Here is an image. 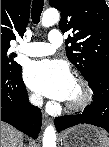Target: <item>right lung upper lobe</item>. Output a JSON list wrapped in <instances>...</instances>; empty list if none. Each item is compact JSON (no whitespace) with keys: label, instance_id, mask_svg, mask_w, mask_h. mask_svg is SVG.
<instances>
[{"label":"right lung upper lobe","instance_id":"obj_1","mask_svg":"<svg viewBox=\"0 0 109 147\" xmlns=\"http://www.w3.org/2000/svg\"><path fill=\"white\" fill-rule=\"evenodd\" d=\"M30 16V0H1V48L10 47L15 33L23 35Z\"/></svg>","mask_w":109,"mask_h":147}]
</instances>
